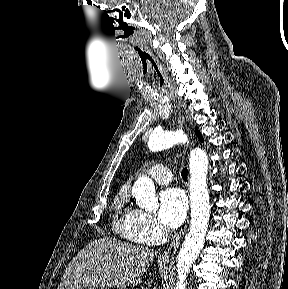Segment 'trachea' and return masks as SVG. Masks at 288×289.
I'll return each instance as SVG.
<instances>
[{"label":"trachea","mask_w":288,"mask_h":289,"mask_svg":"<svg viewBox=\"0 0 288 289\" xmlns=\"http://www.w3.org/2000/svg\"><path fill=\"white\" fill-rule=\"evenodd\" d=\"M138 53L143 69L148 73H150L156 79L160 78L161 80H163V74L159 69L158 64L153 55L147 51H139ZM181 176L184 180H187L188 176L187 168L182 169Z\"/></svg>","instance_id":"obj_1"}]
</instances>
